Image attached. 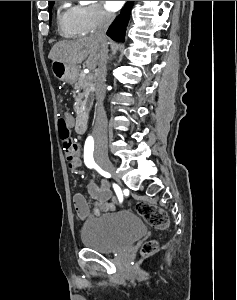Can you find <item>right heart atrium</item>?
<instances>
[{"mask_svg": "<svg viewBox=\"0 0 237 300\" xmlns=\"http://www.w3.org/2000/svg\"><path fill=\"white\" fill-rule=\"evenodd\" d=\"M75 11L77 28L81 34H89L114 20V14L100 2L75 6Z\"/></svg>", "mask_w": 237, "mask_h": 300, "instance_id": "d8ad5b80", "label": "right heart atrium"}]
</instances>
